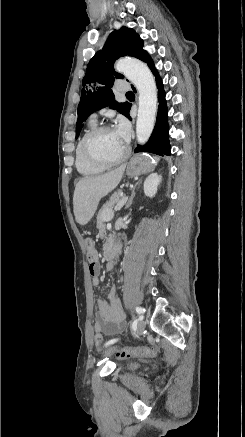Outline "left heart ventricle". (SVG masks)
<instances>
[{
  "mask_svg": "<svg viewBox=\"0 0 245 437\" xmlns=\"http://www.w3.org/2000/svg\"><path fill=\"white\" fill-rule=\"evenodd\" d=\"M127 145L118 137L115 130L102 133L94 142L95 153L108 160H114L122 156Z\"/></svg>",
  "mask_w": 245,
  "mask_h": 437,
  "instance_id": "1",
  "label": "left heart ventricle"
}]
</instances>
